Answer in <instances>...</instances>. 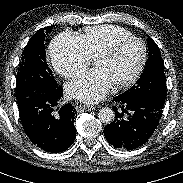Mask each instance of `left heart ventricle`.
<instances>
[{
	"instance_id": "obj_1",
	"label": "left heart ventricle",
	"mask_w": 183,
	"mask_h": 183,
	"mask_svg": "<svg viewBox=\"0 0 183 183\" xmlns=\"http://www.w3.org/2000/svg\"><path fill=\"white\" fill-rule=\"evenodd\" d=\"M142 56L141 45L128 41L121 45L110 57L94 62V67L102 70L112 84L130 77L137 68Z\"/></svg>"
}]
</instances>
